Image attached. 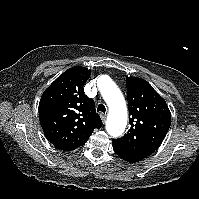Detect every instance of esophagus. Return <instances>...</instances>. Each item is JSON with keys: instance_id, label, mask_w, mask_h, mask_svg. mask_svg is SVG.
Here are the masks:
<instances>
[{"instance_id": "34e87169", "label": "esophagus", "mask_w": 199, "mask_h": 199, "mask_svg": "<svg viewBox=\"0 0 199 199\" xmlns=\"http://www.w3.org/2000/svg\"><path fill=\"white\" fill-rule=\"evenodd\" d=\"M100 117H101V119H102L103 122L106 121V116L104 114H100Z\"/></svg>"}]
</instances>
